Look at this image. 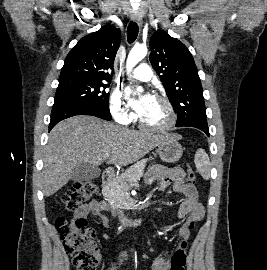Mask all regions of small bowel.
Instances as JSON below:
<instances>
[{"label":"small bowel","instance_id":"c3829d8e","mask_svg":"<svg viewBox=\"0 0 267 270\" xmlns=\"http://www.w3.org/2000/svg\"><path fill=\"white\" fill-rule=\"evenodd\" d=\"M184 176V171L179 167L166 168L162 166H152L145 177L148 184L158 180L159 189L161 191L166 190L170 185H172L175 192L184 196V200L182 201L178 210V217L180 219L186 218V220L179 228V236L181 237V241L178 244V248L181 247L184 242H187L191 231V223L200 221L204 216V208L199 202L198 191L194 185L188 184L185 181ZM107 209L108 207L105 202L91 200L82 205L75 212L73 220H86L87 216L92 214L100 218L101 223L105 228H109L111 223L105 214ZM169 265L170 258L159 256L154 258L152 261V270H168ZM116 267L117 263L114 262L111 270H115Z\"/></svg>","mask_w":267,"mask_h":270}]
</instances>
